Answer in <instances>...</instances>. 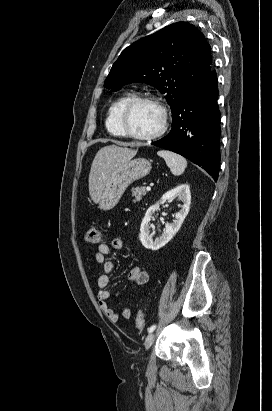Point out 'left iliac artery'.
<instances>
[{"label":"left iliac artery","instance_id":"left-iliac-artery-1","mask_svg":"<svg viewBox=\"0 0 272 411\" xmlns=\"http://www.w3.org/2000/svg\"><path fill=\"white\" fill-rule=\"evenodd\" d=\"M155 328H156V324L150 326V327L148 328V333H152V332L155 330Z\"/></svg>","mask_w":272,"mask_h":411}]
</instances>
